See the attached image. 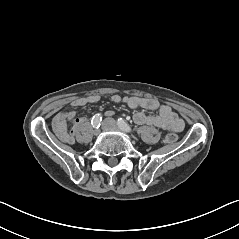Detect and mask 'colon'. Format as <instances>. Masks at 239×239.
Here are the masks:
<instances>
[{
    "instance_id": "colon-1",
    "label": "colon",
    "mask_w": 239,
    "mask_h": 239,
    "mask_svg": "<svg viewBox=\"0 0 239 239\" xmlns=\"http://www.w3.org/2000/svg\"><path fill=\"white\" fill-rule=\"evenodd\" d=\"M177 139V136L173 133L167 134L163 140L165 144L173 143Z\"/></svg>"
}]
</instances>
